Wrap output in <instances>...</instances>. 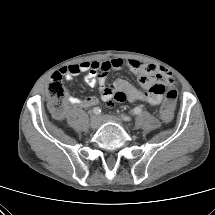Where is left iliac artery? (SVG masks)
<instances>
[{
    "label": "left iliac artery",
    "mask_w": 215,
    "mask_h": 215,
    "mask_svg": "<svg viewBox=\"0 0 215 215\" xmlns=\"http://www.w3.org/2000/svg\"><path fill=\"white\" fill-rule=\"evenodd\" d=\"M142 112V109L140 107H135L132 111V113L134 115H138ZM122 119L125 120V121H130V117L129 116H126V115H122Z\"/></svg>",
    "instance_id": "left-iliac-artery-1"
}]
</instances>
